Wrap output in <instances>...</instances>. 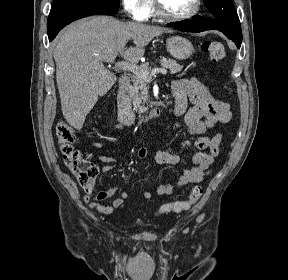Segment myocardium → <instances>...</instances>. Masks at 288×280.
<instances>
[{
  "mask_svg": "<svg viewBox=\"0 0 288 280\" xmlns=\"http://www.w3.org/2000/svg\"><path fill=\"white\" fill-rule=\"evenodd\" d=\"M154 5H155L156 14L162 19L167 20V21H172V22H180V21L189 20L193 18L194 16H196L201 9L202 0H195V4L192 10H190L186 14L178 15V16L168 14L163 9L160 0H154Z\"/></svg>",
  "mask_w": 288,
  "mask_h": 280,
  "instance_id": "f54148a6",
  "label": "myocardium"
}]
</instances>
